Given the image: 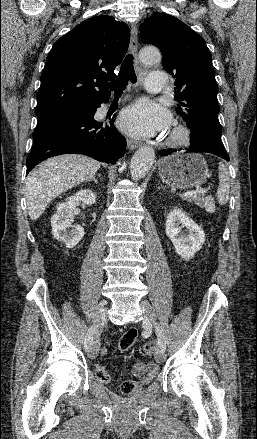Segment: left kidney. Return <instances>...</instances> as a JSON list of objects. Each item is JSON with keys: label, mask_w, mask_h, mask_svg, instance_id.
I'll return each instance as SVG.
<instances>
[{"label": "left kidney", "mask_w": 257, "mask_h": 439, "mask_svg": "<svg viewBox=\"0 0 257 439\" xmlns=\"http://www.w3.org/2000/svg\"><path fill=\"white\" fill-rule=\"evenodd\" d=\"M183 227H186V230L182 232ZM165 232L176 253L185 260L192 258L205 241L202 228L177 208L168 213Z\"/></svg>", "instance_id": "obj_1"}]
</instances>
